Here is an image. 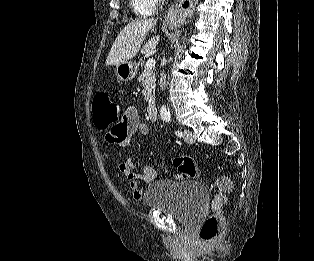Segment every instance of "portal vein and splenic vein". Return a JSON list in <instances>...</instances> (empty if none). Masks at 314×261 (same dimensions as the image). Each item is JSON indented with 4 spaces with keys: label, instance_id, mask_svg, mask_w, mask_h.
Masks as SVG:
<instances>
[{
    "label": "portal vein and splenic vein",
    "instance_id": "portal-vein-and-splenic-vein-1",
    "mask_svg": "<svg viewBox=\"0 0 314 261\" xmlns=\"http://www.w3.org/2000/svg\"><path fill=\"white\" fill-rule=\"evenodd\" d=\"M155 60L153 58L148 59V61L146 62V68L148 69H153L155 67Z\"/></svg>",
    "mask_w": 314,
    "mask_h": 261
}]
</instances>
